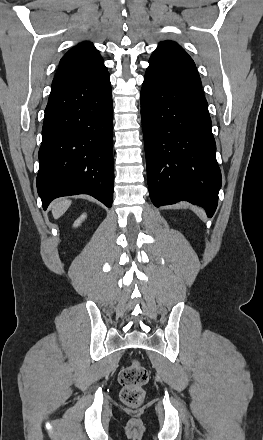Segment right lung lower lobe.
<instances>
[{"instance_id": "right-lung-lower-lobe-1", "label": "right lung lower lobe", "mask_w": 263, "mask_h": 440, "mask_svg": "<svg viewBox=\"0 0 263 440\" xmlns=\"http://www.w3.org/2000/svg\"><path fill=\"white\" fill-rule=\"evenodd\" d=\"M112 93L108 71L51 92L39 150L44 210L61 196L89 194L112 206Z\"/></svg>"}]
</instances>
